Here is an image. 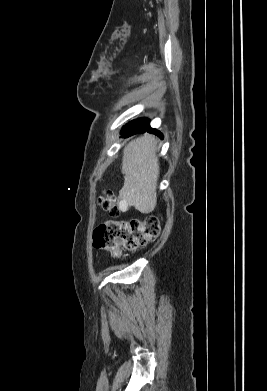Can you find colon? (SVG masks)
Masks as SVG:
<instances>
[{"mask_svg":"<svg viewBox=\"0 0 267 391\" xmlns=\"http://www.w3.org/2000/svg\"><path fill=\"white\" fill-rule=\"evenodd\" d=\"M98 203L111 216L119 215V204L110 192H103ZM160 231V224L155 216L130 221H106L95 229L93 244L120 257L125 251L136 250L154 241L159 237Z\"/></svg>","mask_w":267,"mask_h":391,"instance_id":"1","label":"colon"}]
</instances>
